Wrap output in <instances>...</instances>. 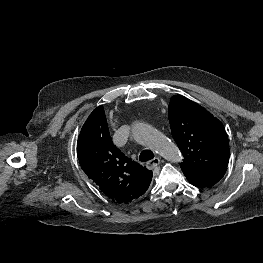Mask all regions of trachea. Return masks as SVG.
I'll list each match as a JSON object with an SVG mask.
<instances>
[{"instance_id": "1", "label": "trachea", "mask_w": 263, "mask_h": 263, "mask_svg": "<svg viewBox=\"0 0 263 263\" xmlns=\"http://www.w3.org/2000/svg\"><path fill=\"white\" fill-rule=\"evenodd\" d=\"M153 158H154V154L151 150H143L139 156V160L141 162H146V161L151 160Z\"/></svg>"}]
</instances>
